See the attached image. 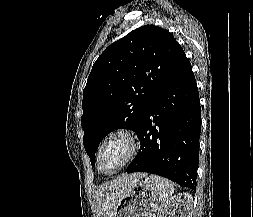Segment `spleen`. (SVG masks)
I'll return each instance as SVG.
<instances>
[{"label":"spleen","instance_id":"1","mask_svg":"<svg viewBox=\"0 0 253 217\" xmlns=\"http://www.w3.org/2000/svg\"><path fill=\"white\" fill-rule=\"evenodd\" d=\"M150 179L155 182L158 187V200L161 201V205L166 203L170 196L174 192L173 184L167 180L166 178L157 176V175H150Z\"/></svg>","mask_w":253,"mask_h":217}]
</instances>
